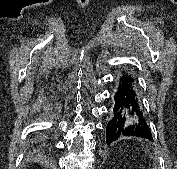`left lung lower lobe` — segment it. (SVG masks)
Listing matches in <instances>:
<instances>
[{"label": "left lung lower lobe", "mask_w": 177, "mask_h": 169, "mask_svg": "<svg viewBox=\"0 0 177 169\" xmlns=\"http://www.w3.org/2000/svg\"><path fill=\"white\" fill-rule=\"evenodd\" d=\"M114 100L113 117L107 126L106 143L109 145L121 136H136L153 140L131 70L121 71Z\"/></svg>", "instance_id": "left-lung-lower-lobe-1"}]
</instances>
